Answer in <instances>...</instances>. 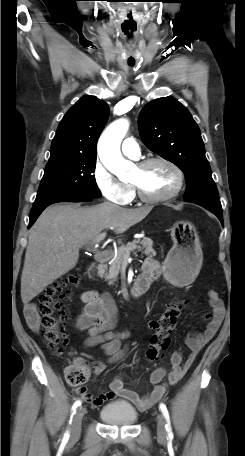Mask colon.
<instances>
[{
  "label": "colon",
  "mask_w": 245,
  "mask_h": 456,
  "mask_svg": "<svg viewBox=\"0 0 245 456\" xmlns=\"http://www.w3.org/2000/svg\"><path fill=\"white\" fill-rule=\"evenodd\" d=\"M77 282L78 278L74 274H67L45 288L39 298L44 339L57 354H61L68 343V336L63 326L65 318L63 299L69 287L76 285ZM182 306L181 301H174L167 305L158 318L150 322L153 333L146 352L149 361L158 360L161 352L169 346L170 334L177 323ZM89 376V367L78 359L64 371L65 381L70 386H81Z\"/></svg>",
  "instance_id": "5ec220e1"
}]
</instances>
